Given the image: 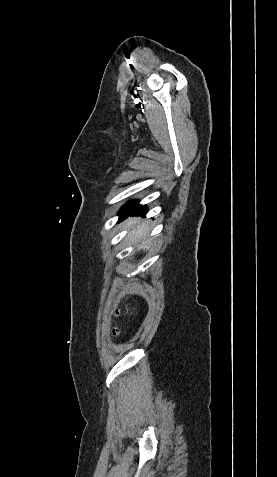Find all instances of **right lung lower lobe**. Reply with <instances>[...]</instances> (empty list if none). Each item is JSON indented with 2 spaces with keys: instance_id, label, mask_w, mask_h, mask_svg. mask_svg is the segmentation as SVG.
<instances>
[{
  "instance_id": "1",
  "label": "right lung lower lobe",
  "mask_w": 277,
  "mask_h": 477,
  "mask_svg": "<svg viewBox=\"0 0 277 477\" xmlns=\"http://www.w3.org/2000/svg\"><path fill=\"white\" fill-rule=\"evenodd\" d=\"M147 212V207L135 202L130 208L121 213V219L129 215H143Z\"/></svg>"
}]
</instances>
